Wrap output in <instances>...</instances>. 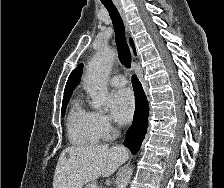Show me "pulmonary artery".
I'll return each instance as SVG.
<instances>
[{
    "instance_id": "obj_1",
    "label": "pulmonary artery",
    "mask_w": 224,
    "mask_h": 188,
    "mask_svg": "<svg viewBox=\"0 0 224 188\" xmlns=\"http://www.w3.org/2000/svg\"><path fill=\"white\" fill-rule=\"evenodd\" d=\"M110 84L113 87L121 88L127 84V80L123 75H115L110 79Z\"/></svg>"
}]
</instances>
